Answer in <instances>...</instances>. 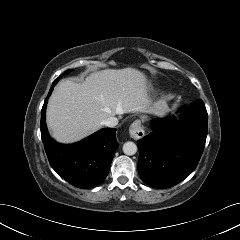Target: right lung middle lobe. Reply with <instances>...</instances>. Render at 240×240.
Listing matches in <instances>:
<instances>
[{
	"label": "right lung middle lobe",
	"mask_w": 240,
	"mask_h": 240,
	"mask_svg": "<svg viewBox=\"0 0 240 240\" xmlns=\"http://www.w3.org/2000/svg\"><path fill=\"white\" fill-rule=\"evenodd\" d=\"M68 71H66L65 73H67ZM62 75H60V77H61ZM58 80H59V78H57L54 82H53V84H52V86H54L57 82H58Z\"/></svg>",
	"instance_id": "right-lung-middle-lobe-1"
}]
</instances>
